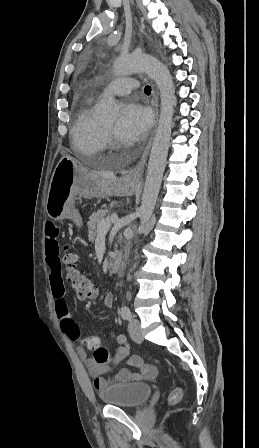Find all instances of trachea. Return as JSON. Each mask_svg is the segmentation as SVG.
<instances>
[{"mask_svg":"<svg viewBox=\"0 0 259 448\" xmlns=\"http://www.w3.org/2000/svg\"><path fill=\"white\" fill-rule=\"evenodd\" d=\"M144 93H146V94H150V93H151V87H150L149 85H147V86L144 88Z\"/></svg>","mask_w":259,"mask_h":448,"instance_id":"trachea-1","label":"trachea"}]
</instances>
